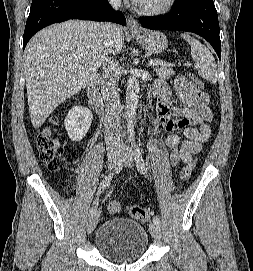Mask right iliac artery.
Here are the masks:
<instances>
[{"label": "right iliac artery", "mask_w": 253, "mask_h": 271, "mask_svg": "<svg viewBox=\"0 0 253 271\" xmlns=\"http://www.w3.org/2000/svg\"><path fill=\"white\" fill-rule=\"evenodd\" d=\"M123 160H119V162L117 163V167L116 170H121L123 167ZM113 178V173L108 174L107 176H105V178L102 180V182L100 183L99 186V190H98V195L101 194L106 187H108L112 181ZM98 204V199H96V201L93 203L92 208L89 211V214L92 215L95 211H96V206Z\"/></svg>", "instance_id": "82829eb1"}]
</instances>
